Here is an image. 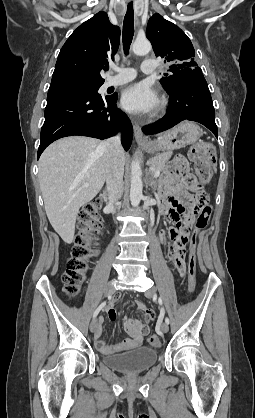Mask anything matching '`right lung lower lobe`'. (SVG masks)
I'll use <instances>...</instances> for the list:
<instances>
[{"label": "right lung lower lobe", "instance_id": "98d812e1", "mask_svg": "<svg viewBox=\"0 0 255 418\" xmlns=\"http://www.w3.org/2000/svg\"><path fill=\"white\" fill-rule=\"evenodd\" d=\"M117 95L101 97L87 89H49L45 122L41 129L38 159L53 141L71 135L105 139L122 131L121 142L130 148L133 128L124 112L116 108Z\"/></svg>", "mask_w": 255, "mask_h": 418}]
</instances>
